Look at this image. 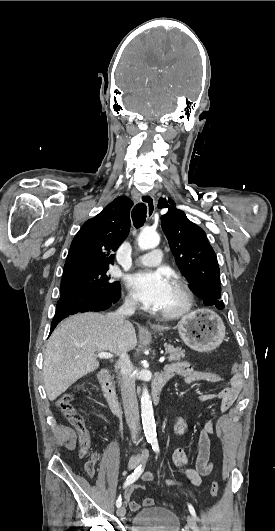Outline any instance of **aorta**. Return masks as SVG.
I'll return each instance as SVG.
<instances>
[{
    "label": "aorta",
    "mask_w": 275,
    "mask_h": 531,
    "mask_svg": "<svg viewBox=\"0 0 275 531\" xmlns=\"http://www.w3.org/2000/svg\"><path fill=\"white\" fill-rule=\"evenodd\" d=\"M159 241L160 237L158 233H156V231H152V229H143L137 239L138 247L141 249V251L155 249V247H158ZM141 417L145 435H148L150 439H152V437L155 439L156 427L154 411L147 389H143V393L141 395Z\"/></svg>",
    "instance_id": "obj_1"
}]
</instances>
